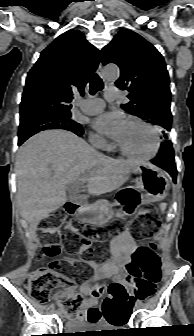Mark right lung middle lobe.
I'll return each instance as SVG.
<instances>
[{"label": "right lung middle lobe", "instance_id": "obj_1", "mask_svg": "<svg viewBox=\"0 0 194 336\" xmlns=\"http://www.w3.org/2000/svg\"><path fill=\"white\" fill-rule=\"evenodd\" d=\"M46 129H65L75 134L83 133L82 126L71 118V112L48 111L20 121L19 140L28 139Z\"/></svg>", "mask_w": 194, "mask_h": 336}]
</instances>
